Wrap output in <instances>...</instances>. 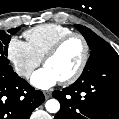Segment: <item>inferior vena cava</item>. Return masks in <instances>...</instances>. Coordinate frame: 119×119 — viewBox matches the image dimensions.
Masks as SVG:
<instances>
[{
  "instance_id": "obj_1",
  "label": "inferior vena cava",
  "mask_w": 119,
  "mask_h": 119,
  "mask_svg": "<svg viewBox=\"0 0 119 119\" xmlns=\"http://www.w3.org/2000/svg\"><path fill=\"white\" fill-rule=\"evenodd\" d=\"M30 74H31V72H29V71H27L26 73H25V75L28 77V76H30Z\"/></svg>"
}]
</instances>
